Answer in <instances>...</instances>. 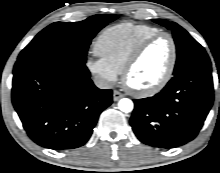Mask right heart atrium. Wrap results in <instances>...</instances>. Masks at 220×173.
I'll list each match as a JSON object with an SVG mask.
<instances>
[{"label": "right heart atrium", "instance_id": "right-heart-atrium-1", "mask_svg": "<svg viewBox=\"0 0 220 173\" xmlns=\"http://www.w3.org/2000/svg\"><path fill=\"white\" fill-rule=\"evenodd\" d=\"M89 70L97 75L105 84H113L117 81L118 72L109 66L101 58H89L87 60Z\"/></svg>", "mask_w": 220, "mask_h": 173}]
</instances>
